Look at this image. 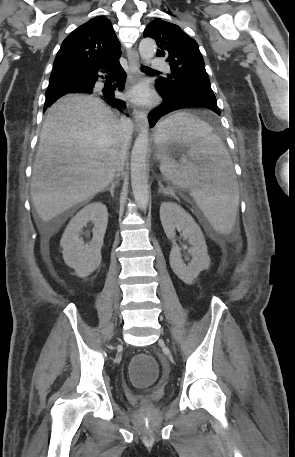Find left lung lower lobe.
<instances>
[{
  "label": "left lung lower lobe",
  "instance_id": "obj_1",
  "mask_svg": "<svg viewBox=\"0 0 295 457\" xmlns=\"http://www.w3.org/2000/svg\"><path fill=\"white\" fill-rule=\"evenodd\" d=\"M157 91L163 97L164 101L162 105L149 113L148 119L152 125L165 114L190 106L205 107L220 115L215 95L212 92L178 94L172 91H163L158 88Z\"/></svg>",
  "mask_w": 295,
  "mask_h": 457
}]
</instances>
